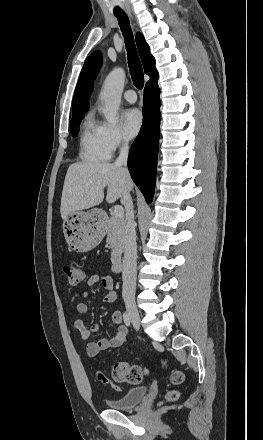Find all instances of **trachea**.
<instances>
[{
	"mask_svg": "<svg viewBox=\"0 0 263 440\" xmlns=\"http://www.w3.org/2000/svg\"><path fill=\"white\" fill-rule=\"evenodd\" d=\"M114 15L117 17L119 26L125 39V45L127 49V58L130 74L133 80V84L142 89L144 86V74L142 65L138 56V52L135 46L133 33L130 27L129 19L127 15L122 11H115Z\"/></svg>",
	"mask_w": 263,
	"mask_h": 440,
	"instance_id": "3493384b",
	"label": "trachea"
}]
</instances>
